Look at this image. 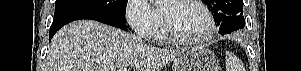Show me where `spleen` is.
Masks as SVG:
<instances>
[{"mask_svg":"<svg viewBox=\"0 0 301 71\" xmlns=\"http://www.w3.org/2000/svg\"><path fill=\"white\" fill-rule=\"evenodd\" d=\"M226 71H244L240 60L229 51L226 52Z\"/></svg>","mask_w":301,"mask_h":71,"instance_id":"3e777b00","label":"spleen"}]
</instances>
